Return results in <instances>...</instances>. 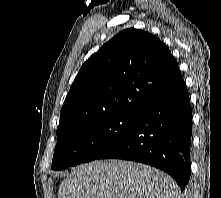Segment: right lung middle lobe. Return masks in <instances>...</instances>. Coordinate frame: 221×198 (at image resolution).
Segmentation results:
<instances>
[{"label":"right lung middle lobe","mask_w":221,"mask_h":198,"mask_svg":"<svg viewBox=\"0 0 221 198\" xmlns=\"http://www.w3.org/2000/svg\"><path fill=\"white\" fill-rule=\"evenodd\" d=\"M138 117L137 114L129 113L113 114L57 136L51 169L62 170L96 159L128 134L134 128Z\"/></svg>","instance_id":"1"}]
</instances>
